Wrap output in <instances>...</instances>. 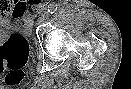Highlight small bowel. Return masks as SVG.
Returning a JSON list of instances; mask_svg holds the SVG:
<instances>
[{
    "instance_id": "small-bowel-1",
    "label": "small bowel",
    "mask_w": 131,
    "mask_h": 89,
    "mask_svg": "<svg viewBox=\"0 0 131 89\" xmlns=\"http://www.w3.org/2000/svg\"><path fill=\"white\" fill-rule=\"evenodd\" d=\"M8 6V4H7ZM35 7L32 2H20V3H10V11L7 12L5 9L0 10V27L7 28L12 22V18H19L24 15V13L34 12ZM21 11V12H20Z\"/></svg>"
}]
</instances>
